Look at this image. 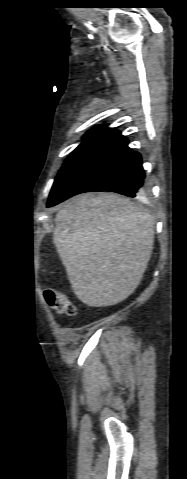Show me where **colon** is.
I'll return each instance as SVG.
<instances>
[{"instance_id":"colon-1","label":"colon","mask_w":187,"mask_h":479,"mask_svg":"<svg viewBox=\"0 0 187 479\" xmlns=\"http://www.w3.org/2000/svg\"><path fill=\"white\" fill-rule=\"evenodd\" d=\"M43 296L46 303L57 313L67 316L77 314V306L64 293L47 288L43 291Z\"/></svg>"}]
</instances>
